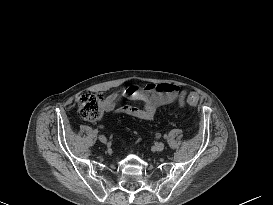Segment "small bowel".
I'll return each mask as SVG.
<instances>
[{"mask_svg":"<svg viewBox=\"0 0 273 205\" xmlns=\"http://www.w3.org/2000/svg\"><path fill=\"white\" fill-rule=\"evenodd\" d=\"M186 91L174 84L148 83L145 86L130 84L122 92L114 91L104 100L105 111L114 115L133 116L142 120H152L159 108L164 106L182 107L186 98ZM140 102L141 107L125 105L116 108L121 99Z\"/></svg>","mask_w":273,"mask_h":205,"instance_id":"obj_1","label":"small bowel"}]
</instances>
